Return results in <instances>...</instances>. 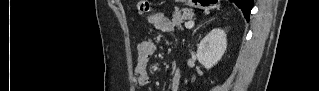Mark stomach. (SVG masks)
<instances>
[{
  "label": "stomach",
  "instance_id": "stomach-1",
  "mask_svg": "<svg viewBox=\"0 0 319 91\" xmlns=\"http://www.w3.org/2000/svg\"><path fill=\"white\" fill-rule=\"evenodd\" d=\"M216 1H204L201 3H197V5L195 3H191L192 6H197V7H201L203 8V6H205L204 8H211L212 7V3H215Z\"/></svg>",
  "mask_w": 319,
  "mask_h": 91
}]
</instances>
